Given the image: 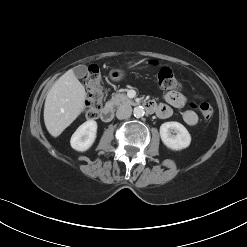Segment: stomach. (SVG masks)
<instances>
[{
    "mask_svg": "<svg viewBox=\"0 0 247 247\" xmlns=\"http://www.w3.org/2000/svg\"><path fill=\"white\" fill-rule=\"evenodd\" d=\"M109 76L113 81H120L126 76V73L120 69H113L110 71Z\"/></svg>",
    "mask_w": 247,
    "mask_h": 247,
    "instance_id": "1",
    "label": "stomach"
}]
</instances>
